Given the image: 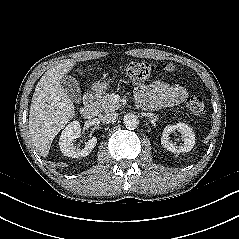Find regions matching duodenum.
<instances>
[{
  "instance_id": "obj_1",
  "label": "duodenum",
  "mask_w": 239,
  "mask_h": 239,
  "mask_svg": "<svg viewBox=\"0 0 239 239\" xmlns=\"http://www.w3.org/2000/svg\"><path fill=\"white\" fill-rule=\"evenodd\" d=\"M97 102L96 96L93 93H88L85 96L84 105L81 108V115L85 119H91L96 114Z\"/></svg>"
}]
</instances>
